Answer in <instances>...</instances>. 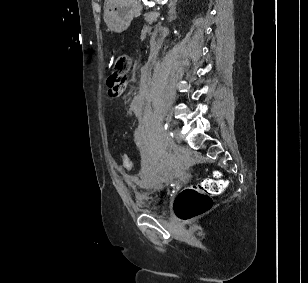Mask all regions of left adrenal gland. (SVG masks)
<instances>
[{"instance_id": "a2214340", "label": "left adrenal gland", "mask_w": 308, "mask_h": 283, "mask_svg": "<svg viewBox=\"0 0 308 283\" xmlns=\"http://www.w3.org/2000/svg\"><path fill=\"white\" fill-rule=\"evenodd\" d=\"M178 0H170L169 3V12H168V21L172 22L176 19V4Z\"/></svg>"}]
</instances>
